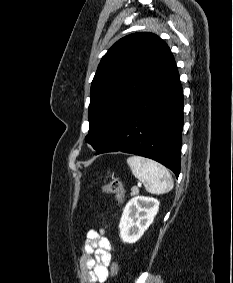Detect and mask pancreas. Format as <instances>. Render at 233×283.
Returning <instances> with one entry per match:
<instances>
[{"mask_svg": "<svg viewBox=\"0 0 233 283\" xmlns=\"http://www.w3.org/2000/svg\"><path fill=\"white\" fill-rule=\"evenodd\" d=\"M138 193H139L138 188H137V187H133V188H132V192H131V196H135V195H137Z\"/></svg>", "mask_w": 233, "mask_h": 283, "instance_id": "pancreas-1", "label": "pancreas"}]
</instances>
